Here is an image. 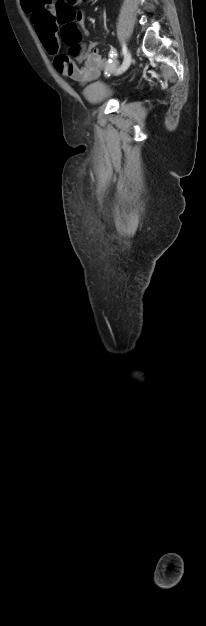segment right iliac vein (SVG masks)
Wrapping results in <instances>:
<instances>
[{"label": "right iliac vein", "instance_id": "obj_1", "mask_svg": "<svg viewBox=\"0 0 206 626\" xmlns=\"http://www.w3.org/2000/svg\"><path fill=\"white\" fill-rule=\"evenodd\" d=\"M130 64H131V54H130V52H128V53L125 55V58H124L123 64H122V65H121V67L117 70V74H121V73L125 72V71L129 68Z\"/></svg>", "mask_w": 206, "mask_h": 626}]
</instances>
